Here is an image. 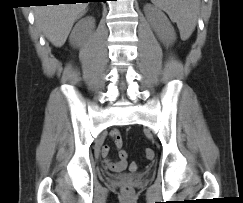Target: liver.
Segmentation results:
<instances>
[{"label":"liver","instance_id":"6515ba94","mask_svg":"<svg viewBox=\"0 0 243 203\" xmlns=\"http://www.w3.org/2000/svg\"><path fill=\"white\" fill-rule=\"evenodd\" d=\"M86 8V3L37 6L34 9L36 25L54 46L61 47Z\"/></svg>","mask_w":243,"mask_h":203}]
</instances>
